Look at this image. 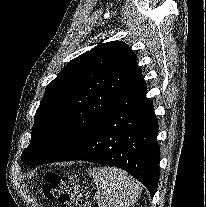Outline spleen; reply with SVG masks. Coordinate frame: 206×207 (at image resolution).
<instances>
[{
    "mask_svg": "<svg viewBox=\"0 0 206 207\" xmlns=\"http://www.w3.org/2000/svg\"><path fill=\"white\" fill-rule=\"evenodd\" d=\"M88 173L96 184L98 207H130L141 194L140 184L119 168L103 166L89 169Z\"/></svg>",
    "mask_w": 206,
    "mask_h": 207,
    "instance_id": "obj_1",
    "label": "spleen"
}]
</instances>
